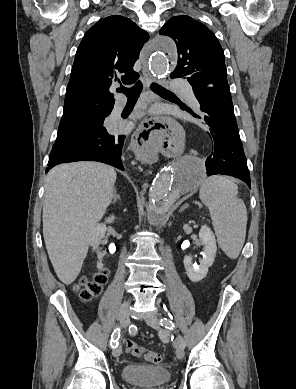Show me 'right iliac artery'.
Returning a JSON list of instances; mask_svg holds the SVG:
<instances>
[{"label":"right iliac artery","instance_id":"1","mask_svg":"<svg viewBox=\"0 0 296 389\" xmlns=\"http://www.w3.org/2000/svg\"><path fill=\"white\" fill-rule=\"evenodd\" d=\"M120 338V329L116 328L111 336V342L110 345L112 348H116L118 346V340Z\"/></svg>","mask_w":296,"mask_h":389}]
</instances>
